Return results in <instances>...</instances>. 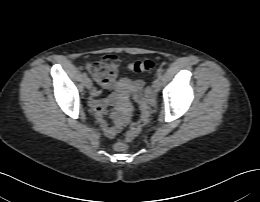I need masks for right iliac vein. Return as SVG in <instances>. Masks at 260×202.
Returning <instances> with one entry per match:
<instances>
[{"label": "right iliac vein", "mask_w": 260, "mask_h": 202, "mask_svg": "<svg viewBox=\"0 0 260 202\" xmlns=\"http://www.w3.org/2000/svg\"><path fill=\"white\" fill-rule=\"evenodd\" d=\"M85 87H86L88 90H91V88H92V81H91L89 78H86V79H85Z\"/></svg>", "instance_id": "obj_1"}]
</instances>
